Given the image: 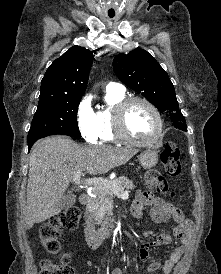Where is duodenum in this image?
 <instances>
[{
	"instance_id": "duodenum-1",
	"label": "duodenum",
	"mask_w": 221,
	"mask_h": 274,
	"mask_svg": "<svg viewBox=\"0 0 221 274\" xmlns=\"http://www.w3.org/2000/svg\"><path fill=\"white\" fill-rule=\"evenodd\" d=\"M79 202L87 206L91 202V196L88 193H83L79 197ZM87 227L85 230V239L89 247L96 248L103 241L110 238L115 232V226L112 222H106L98 229L94 230L92 227V216L88 213L86 215Z\"/></svg>"
}]
</instances>
